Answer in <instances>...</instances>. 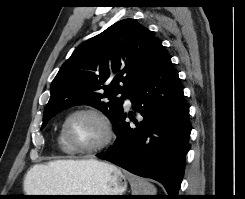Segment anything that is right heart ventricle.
Returning a JSON list of instances; mask_svg holds the SVG:
<instances>
[{
	"mask_svg": "<svg viewBox=\"0 0 245 199\" xmlns=\"http://www.w3.org/2000/svg\"><path fill=\"white\" fill-rule=\"evenodd\" d=\"M57 144H58L59 148L65 154H68V155H73L74 154V152L71 150V148L67 145L61 130H60V132L58 133V136H57Z\"/></svg>",
	"mask_w": 245,
	"mask_h": 199,
	"instance_id": "right-heart-ventricle-1",
	"label": "right heart ventricle"
}]
</instances>
